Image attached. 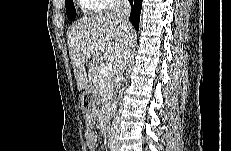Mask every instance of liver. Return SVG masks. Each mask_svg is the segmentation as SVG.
<instances>
[{
  "mask_svg": "<svg viewBox=\"0 0 231 151\" xmlns=\"http://www.w3.org/2000/svg\"><path fill=\"white\" fill-rule=\"evenodd\" d=\"M133 38V31L127 36L113 13L86 16L71 26L67 43L78 91H82L96 73L100 52L117 68L123 48ZM95 43L102 44L104 50L92 47Z\"/></svg>",
  "mask_w": 231,
  "mask_h": 151,
  "instance_id": "liver-1",
  "label": "liver"
}]
</instances>
